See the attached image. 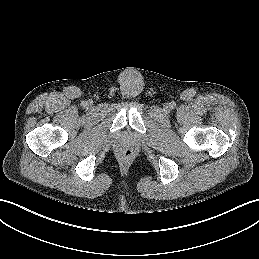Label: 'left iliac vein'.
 <instances>
[{
    "label": "left iliac vein",
    "instance_id": "1",
    "mask_svg": "<svg viewBox=\"0 0 259 259\" xmlns=\"http://www.w3.org/2000/svg\"><path fill=\"white\" fill-rule=\"evenodd\" d=\"M164 109H165L166 111H168V110L170 109V105H169V104H166V105L164 106Z\"/></svg>",
    "mask_w": 259,
    "mask_h": 259
}]
</instances>
